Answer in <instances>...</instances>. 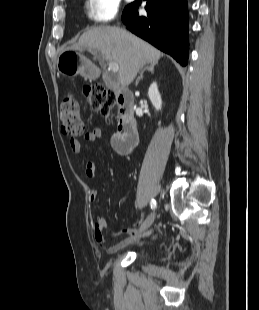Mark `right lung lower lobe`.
<instances>
[{
    "label": "right lung lower lobe",
    "mask_w": 259,
    "mask_h": 310,
    "mask_svg": "<svg viewBox=\"0 0 259 310\" xmlns=\"http://www.w3.org/2000/svg\"><path fill=\"white\" fill-rule=\"evenodd\" d=\"M139 1L127 6L122 14L126 27L182 66L188 59L187 0H147V16H138Z\"/></svg>",
    "instance_id": "obj_1"
}]
</instances>
